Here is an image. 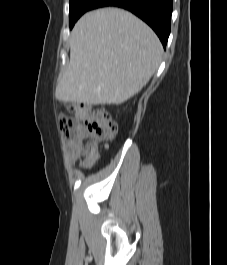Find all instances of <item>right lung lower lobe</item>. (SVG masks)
<instances>
[{
	"label": "right lung lower lobe",
	"mask_w": 227,
	"mask_h": 265,
	"mask_svg": "<svg viewBox=\"0 0 227 265\" xmlns=\"http://www.w3.org/2000/svg\"><path fill=\"white\" fill-rule=\"evenodd\" d=\"M107 6L124 8L134 13L155 31L163 47H166L170 34L172 0H97L92 9Z\"/></svg>",
	"instance_id": "obj_1"
}]
</instances>
